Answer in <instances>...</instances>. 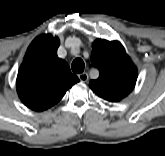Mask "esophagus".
Returning a JSON list of instances; mask_svg holds the SVG:
<instances>
[{
    "label": "esophagus",
    "mask_w": 165,
    "mask_h": 156,
    "mask_svg": "<svg viewBox=\"0 0 165 156\" xmlns=\"http://www.w3.org/2000/svg\"><path fill=\"white\" fill-rule=\"evenodd\" d=\"M78 78L80 79L81 82H87L89 77L88 74L84 72L78 74Z\"/></svg>",
    "instance_id": "obj_1"
}]
</instances>
